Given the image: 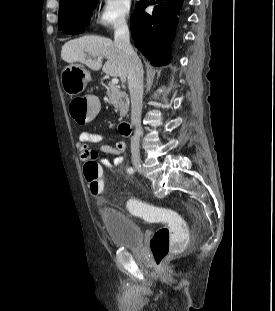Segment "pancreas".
<instances>
[{"label": "pancreas", "mask_w": 275, "mask_h": 311, "mask_svg": "<svg viewBox=\"0 0 275 311\" xmlns=\"http://www.w3.org/2000/svg\"><path fill=\"white\" fill-rule=\"evenodd\" d=\"M106 94L115 110L119 112L121 117H125L129 110L128 95L111 83L108 84Z\"/></svg>", "instance_id": "obj_1"}]
</instances>
